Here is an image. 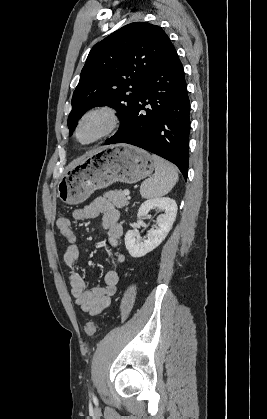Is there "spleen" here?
<instances>
[{
	"label": "spleen",
	"mask_w": 267,
	"mask_h": 419,
	"mask_svg": "<svg viewBox=\"0 0 267 419\" xmlns=\"http://www.w3.org/2000/svg\"><path fill=\"white\" fill-rule=\"evenodd\" d=\"M155 174L145 180L140 187L141 196L145 199L157 198L170 192L178 181L176 168L163 158L153 155Z\"/></svg>",
	"instance_id": "obj_1"
}]
</instances>
